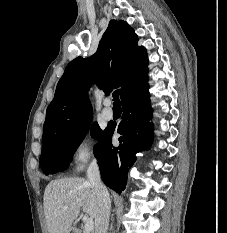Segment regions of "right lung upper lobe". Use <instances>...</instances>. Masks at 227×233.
<instances>
[{"instance_id": "right-lung-upper-lobe-1", "label": "right lung upper lobe", "mask_w": 227, "mask_h": 233, "mask_svg": "<svg viewBox=\"0 0 227 233\" xmlns=\"http://www.w3.org/2000/svg\"><path fill=\"white\" fill-rule=\"evenodd\" d=\"M148 59L126 22L111 20L90 58L71 61L47 108L42 144L92 120L88 89L93 81L108 93L120 87L121 102L147 86Z\"/></svg>"}]
</instances>
